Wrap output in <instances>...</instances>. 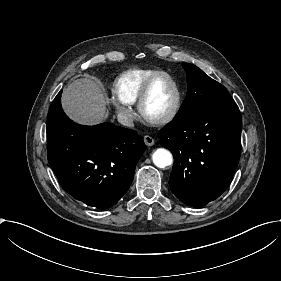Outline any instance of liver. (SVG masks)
Masks as SVG:
<instances>
[{"label": "liver", "mask_w": 281, "mask_h": 281, "mask_svg": "<svg viewBox=\"0 0 281 281\" xmlns=\"http://www.w3.org/2000/svg\"><path fill=\"white\" fill-rule=\"evenodd\" d=\"M106 99L99 85L91 79L73 81L62 93L66 114L83 125L102 123L108 117Z\"/></svg>", "instance_id": "1"}]
</instances>
